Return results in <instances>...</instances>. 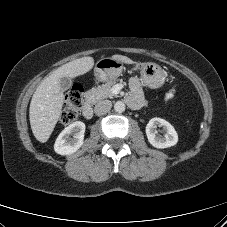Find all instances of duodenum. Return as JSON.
<instances>
[{
    "mask_svg": "<svg viewBox=\"0 0 227 227\" xmlns=\"http://www.w3.org/2000/svg\"><path fill=\"white\" fill-rule=\"evenodd\" d=\"M82 113H83V116H84L86 119L92 118V116H93V108H92V105H91L90 102L86 101V102L84 103Z\"/></svg>",
    "mask_w": 227,
    "mask_h": 227,
    "instance_id": "410a0bca",
    "label": "duodenum"
}]
</instances>
